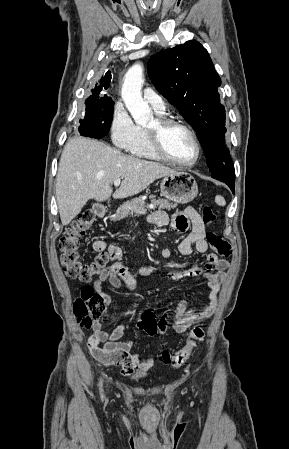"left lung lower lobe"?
Wrapping results in <instances>:
<instances>
[{"mask_svg":"<svg viewBox=\"0 0 289 449\" xmlns=\"http://www.w3.org/2000/svg\"><path fill=\"white\" fill-rule=\"evenodd\" d=\"M223 181L224 183H226L230 189L232 190L233 194H234V180H220Z\"/></svg>","mask_w":289,"mask_h":449,"instance_id":"0a47b994","label":"left lung lower lobe"}]
</instances>
